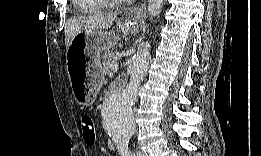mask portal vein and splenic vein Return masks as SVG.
<instances>
[{
  "mask_svg": "<svg viewBox=\"0 0 261 156\" xmlns=\"http://www.w3.org/2000/svg\"><path fill=\"white\" fill-rule=\"evenodd\" d=\"M118 64H114L111 68L112 71H117L118 70Z\"/></svg>",
  "mask_w": 261,
  "mask_h": 156,
  "instance_id": "1",
  "label": "portal vein and splenic vein"
}]
</instances>
